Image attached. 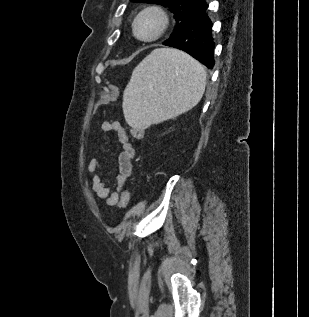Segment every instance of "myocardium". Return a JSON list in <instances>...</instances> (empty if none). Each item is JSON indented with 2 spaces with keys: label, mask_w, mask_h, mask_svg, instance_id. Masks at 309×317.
Instances as JSON below:
<instances>
[{
  "label": "myocardium",
  "mask_w": 309,
  "mask_h": 317,
  "mask_svg": "<svg viewBox=\"0 0 309 317\" xmlns=\"http://www.w3.org/2000/svg\"><path fill=\"white\" fill-rule=\"evenodd\" d=\"M146 17L154 18L157 23L154 32L149 36L141 35L139 30L140 22ZM168 25H169V18L166 12L157 6H150L143 9L137 14L133 22V31L135 36L138 39L145 42H152L157 40L164 34L166 29L168 28Z\"/></svg>",
  "instance_id": "f54148a6"
}]
</instances>
